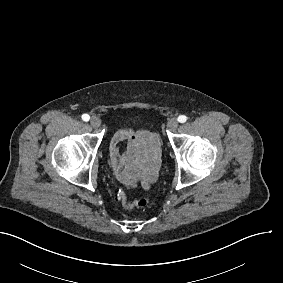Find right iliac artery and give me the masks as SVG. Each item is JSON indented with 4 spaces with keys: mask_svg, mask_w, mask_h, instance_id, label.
I'll return each instance as SVG.
<instances>
[{
    "mask_svg": "<svg viewBox=\"0 0 283 283\" xmlns=\"http://www.w3.org/2000/svg\"><path fill=\"white\" fill-rule=\"evenodd\" d=\"M82 119L87 122V121H89L90 116L88 114H83Z\"/></svg>",
    "mask_w": 283,
    "mask_h": 283,
    "instance_id": "1",
    "label": "right iliac artery"
}]
</instances>
